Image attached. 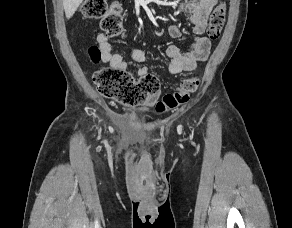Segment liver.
Returning <instances> with one entry per match:
<instances>
[{
    "label": "liver",
    "instance_id": "6515ba94",
    "mask_svg": "<svg viewBox=\"0 0 292 228\" xmlns=\"http://www.w3.org/2000/svg\"><path fill=\"white\" fill-rule=\"evenodd\" d=\"M83 0H63V7L67 19H70Z\"/></svg>",
    "mask_w": 292,
    "mask_h": 228
}]
</instances>
